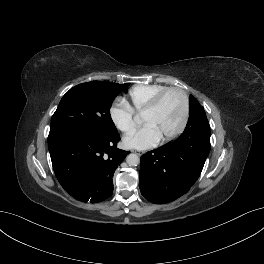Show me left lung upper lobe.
Wrapping results in <instances>:
<instances>
[{
	"label": "left lung upper lobe",
	"instance_id": "5c2ea615",
	"mask_svg": "<svg viewBox=\"0 0 264 264\" xmlns=\"http://www.w3.org/2000/svg\"><path fill=\"white\" fill-rule=\"evenodd\" d=\"M204 123H208L205 111L203 107L199 104L197 99L190 95L189 97V120L186 128L191 127L193 125H203Z\"/></svg>",
	"mask_w": 264,
	"mask_h": 264
}]
</instances>
